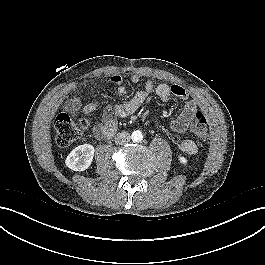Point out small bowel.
I'll use <instances>...</instances> for the list:
<instances>
[{
  "mask_svg": "<svg viewBox=\"0 0 265 265\" xmlns=\"http://www.w3.org/2000/svg\"><path fill=\"white\" fill-rule=\"evenodd\" d=\"M117 87V93L124 95L126 87L123 84V78L120 75H113L110 78ZM141 81L139 74L131 76V82L138 84ZM155 93L162 101H168L171 96H175L181 100H187L188 91L181 85L160 83L155 85L151 79H147L143 88L138 90L129 100L104 112L102 121L94 128V134L99 138H110L117 129V119L127 117L135 113L147 100V98ZM99 104L93 101L82 108L85 114L93 113ZM65 108L73 115H76L81 109V100L78 96H71L65 102ZM199 111V102L195 99L187 100L183 106L181 113L171 122L173 131L177 134H183L192 122L194 115ZM177 147L185 154L193 155L197 152L196 143L189 138L179 137L176 140Z\"/></svg>",
  "mask_w": 265,
  "mask_h": 265,
  "instance_id": "small-bowel-1",
  "label": "small bowel"
}]
</instances>
